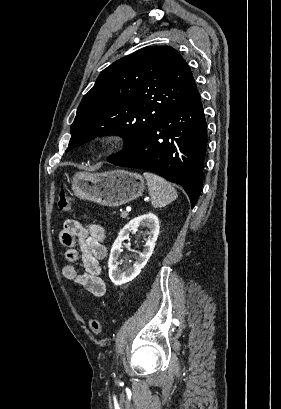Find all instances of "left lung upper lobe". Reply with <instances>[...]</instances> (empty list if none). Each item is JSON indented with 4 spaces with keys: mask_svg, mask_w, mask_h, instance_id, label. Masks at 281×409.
<instances>
[{
    "mask_svg": "<svg viewBox=\"0 0 281 409\" xmlns=\"http://www.w3.org/2000/svg\"><path fill=\"white\" fill-rule=\"evenodd\" d=\"M194 85L186 61L169 46H148L117 60L83 97L66 151L110 133L124 138L126 150L185 99Z\"/></svg>",
    "mask_w": 281,
    "mask_h": 409,
    "instance_id": "obj_1",
    "label": "left lung upper lobe"
}]
</instances>
